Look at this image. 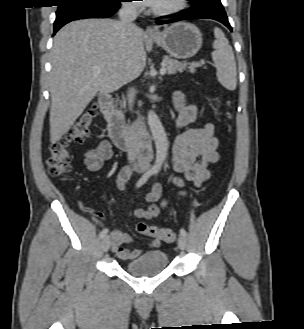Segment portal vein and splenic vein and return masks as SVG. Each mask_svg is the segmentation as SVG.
<instances>
[{
    "instance_id": "1",
    "label": "portal vein and splenic vein",
    "mask_w": 304,
    "mask_h": 329,
    "mask_svg": "<svg viewBox=\"0 0 304 329\" xmlns=\"http://www.w3.org/2000/svg\"><path fill=\"white\" fill-rule=\"evenodd\" d=\"M93 70L95 71V72H99L100 71V67L99 66H95L94 68H93ZM166 73V68L163 66L161 69H160V74L161 75H164Z\"/></svg>"
}]
</instances>
